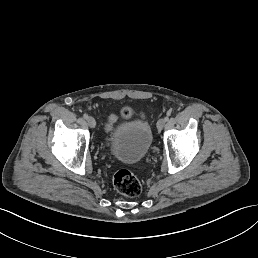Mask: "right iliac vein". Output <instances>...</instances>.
Listing matches in <instances>:
<instances>
[{"label": "right iliac vein", "mask_w": 258, "mask_h": 258, "mask_svg": "<svg viewBox=\"0 0 258 258\" xmlns=\"http://www.w3.org/2000/svg\"><path fill=\"white\" fill-rule=\"evenodd\" d=\"M87 121H88L87 123H88V126H89V127L91 126V127L95 128V126H96V122H95V121H96V120H95L94 117H92V116H91V117H88V120H87Z\"/></svg>", "instance_id": "right-iliac-vein-1"}]
</instances>
